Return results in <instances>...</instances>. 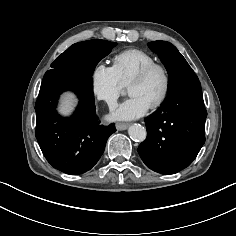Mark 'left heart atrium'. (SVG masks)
<instances>
[{
	"label": "left heart atrium",
	"instance_id": "39dd6f15",
	"mask_svg": "<svg viewBox=\"0 0 236 236\" xmlns=\"http://www.w3.org/2000/svg\"><path fill=\"white\" fill-rule=\"evenodd\" d=\"M150 108V105L138 96H130L120 104L112 113V118L118 120H131L143 116Z\"/></svg>",
	"mask_w": 236,
	"mask_h": 236
}]
</instances>
